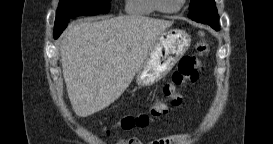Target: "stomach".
I'll return each mask as SVG.
<instances>
[{"label": "stomach", "instance_id": "stomach-1", "mask_svg": "<svg viewBox=\"0 0 273 144\" xmlns=\"http://www.w3.org/2000/svg\"><path fill=\"white\" fill-rule=\"evenodd\" d=\"M191 43L189 34L182 29H167L149 50L137 71L136 83L151 86L160 81L186 53Z\"/></svg>", "mask_w": 273, "mask_h": 144}]
</instances>
